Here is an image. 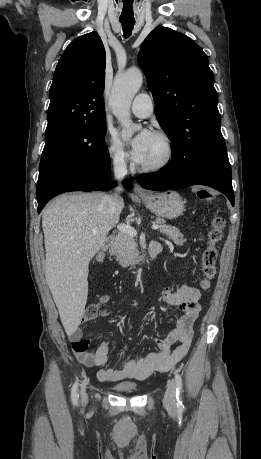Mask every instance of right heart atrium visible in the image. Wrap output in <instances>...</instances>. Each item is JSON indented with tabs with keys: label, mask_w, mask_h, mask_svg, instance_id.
<instances>
[{
	"label": "right heart atrium",
	"mask_w": 261,
	"mask_h": 459,
	"mask_svg": "<svg viewBox=\"0 0 261 459\" xmlns=\"http://www.w3.org/2000/svg\"><path fill=\"white\" fill-rule=\"evenodd\" d=\"M105 143L110 161L117 171H125L129 164V156L118 137L112 132L105 135Z\"/></svg>",
	"instance_id": "obj_1"
}]
</instances>
